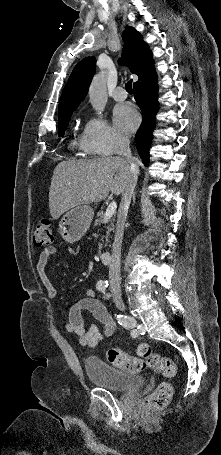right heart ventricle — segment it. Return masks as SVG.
<instances>
[{
    "mask_svg": "<svg viewBox=\"0 0 221 455\" xmlns=\"http://www.w3.org/2000/svg\"><path fill=\"white\" fill-rule=\"evenodd\" d=\"M69 146L72 148V149H81L83 150V146H82V141L77 139V138H73L71 139L70 143H69Z\"/></svg>",
    "mask_w": 221,
    "mask_h": 455,
    "instance_id": "obj_1",
    "label": "right heart ventricle"
}]
</instances>
